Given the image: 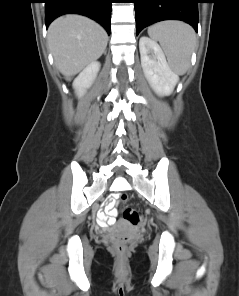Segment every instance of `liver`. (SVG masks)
<instances>
[{"label":"liver","mask_w":239,"mask_h":296,"mask_svg":"<svg viewBox=\"0 0 239 296\" xmlns=\"http://www.w3.org/2000/svg\"><path fill=\"white\" fill-rule=\"evenodd\" d=\"M108 36L95 21L81 15H66L48 29V44L59 71L66 77L79 73L105 51Z\"/></svg>","instance_id":"6515ba94"}]
</instances>
